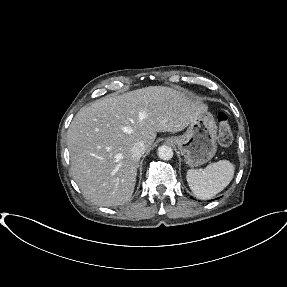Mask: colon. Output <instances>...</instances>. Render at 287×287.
<instances>
[{
  "instance_id": "5ec220e1",
  "label": "colon",
  "mask_w": 287,
  "mask_h": 287,
  "mask_svg": "<svg viewBox=\"0 0 287 287\" xmlns=\"http://www.w3.org/2000/svg\"><path fill=\"white\" fill-rule=\"evenodd\" d=\"M218 142L222 147L228 148L233 144L234 135L230 121L226 114L221 113L218 116Z\"/></svg>"
}]
</instances>
